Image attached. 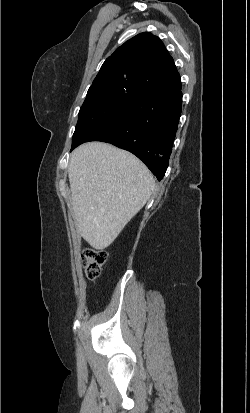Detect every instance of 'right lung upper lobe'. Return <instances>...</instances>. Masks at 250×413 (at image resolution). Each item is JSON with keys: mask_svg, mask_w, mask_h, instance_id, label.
I'll return each instance as SVG.
<instances>
[{"mask_svg": "<svg viewBox=\"0 0 250 413\" xmlns=\"http://www.w3.org/2000/svg\"><path fill=\"white\" fill-rule=\"evenodd\" d=\"M180 85L179 73L162 41L143 32L126 41L105 60L90 88L118 86L143 95Z\"/></svg>", "mask_w": 250, "mask_h": 413, "instance_id": "1", "label": "right lung upper lobe"}]
</instances>
